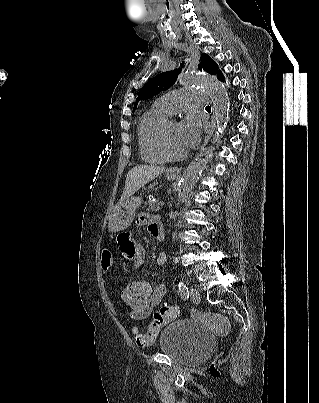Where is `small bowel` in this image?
I'll use <instances>...</instances> for the list:
<instances>
[{"mask_svg": "<svg viewBox=\"0 0 319 403\" xmlns=\"http://www.w3.org/2000/svg\"><path fill=\"white\" fill-rule=\"evenodd\" d=\"M138 226H146L149 232L156 238L162 239L163 232L158 220L148 213L139 214L137 217ZM115 248L121 249V262H132L134 269L138 270L142 265L145 258V248L135 242V237L130 235L129 231H122L115 233ZM111 255L108 251L99 252V267L109 268L111 267ZM131 260V261H130ZM166 257L164 254L159 255L157 263L162 265L165 263ZM133 282V281H132ZM142 282H148L142 280ZM151 299L149 300L150 306L148 313H131V318L134 320H143L147 318L154 307H156L163 299L166 293V287L163 284H158L154 287L151 286ZM123 300V290L121 293ZM127 308V307H124ZM138 332V331H137ZM129 331V336L131 337Z\"/></svg>", "mask_w": 319, "mask_h": 403, "instance_id": "obj_1", "label": "small bowel"}]
</instances>
